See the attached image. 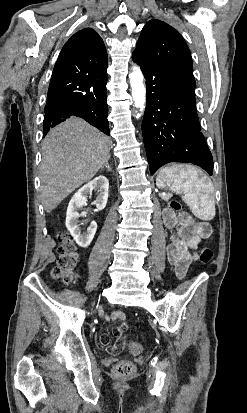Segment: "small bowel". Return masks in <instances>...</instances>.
I'll return each mask as SVG.
<instances>
[{
    "instance_id": "obj_1",
    "label": "small bowel",
    "mask_w": 247,
    "mask_h": 413,
    "mask_svg": "<svg viewBox=\"0 0 247 413\" xmlns=\"http://www.w3.org/2000/svg\"><path fill=\"white\" fill-rule=\"evenodd\" d=\"M190 224L191 232L186 233L185 222L170 209L164 211V224L171 233L169 235V244L167 246L168 261L173 266L177 279L183 280L186 277L189 267L198 260L194 250L200 242L211 235L210 224L206 221H193L191 218L187 221ZM126 315L123 312L115 311L107 316L109 320H118L117 324L108 323L107 329H116L114 335L120 338L111 346L108 334L99 336L100 347L108 349L110 355H120L127 336L124 330L128 329V324L124 322Z\"/></svg>"
}]
</instances>
